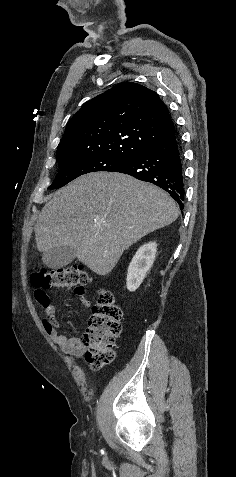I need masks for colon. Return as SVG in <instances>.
Instances as JSON below:
<instances>
[{
    "label": "colon",
    "instance_id": "obj_1",
    "mask_svg": "<svg viewBox=\"0 0 236 477\" xmlns=\"http://www.w3.org/2000/svg\"><path fill=\"white\" fill-rule=\"evenodd\" d=\"M36 293L51 288H74L77 294H83L91 283V276L81 265L53 272L38 271L31 277ZM123 311L115 301L113 294L99 290L88 328L83 336L87 349L86 361L92 369H100L114 358V345L121 332Z\"/></svg>",
    "mask_w": 236,
    "mask_h": 477
}]
</instances>
